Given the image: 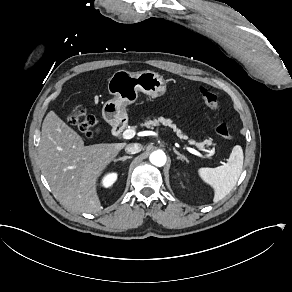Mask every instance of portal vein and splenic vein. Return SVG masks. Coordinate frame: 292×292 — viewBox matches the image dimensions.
<instances>
[{"label":"portal vein and splenic vein","mask_w":292,"mask_h":292,"mask_svg":"<svg viewBox=\"0 0 292 292\" xmlns=\"http://www.w3.org/2000/svg\"><path fill=\"white\" fill-rule=\"evenodd\" d=\"M135 134H136V131L134 129H127L123 132V138L131 139L135 136ZM187 150L194 155L201 156V154L193 148H187Z\"/></svg>","instance_id":"obj_1"}]
</instances>
